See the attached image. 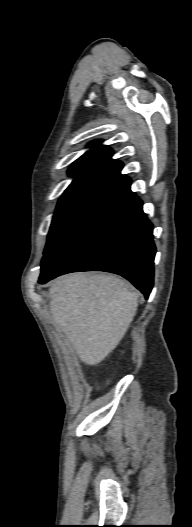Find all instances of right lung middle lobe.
I'll list each match as a JSON object with an SVG mask.
<instances>
[{
    "mask_svg": "<svg viewBox=\"0 0 192 527\" xmlns=\"http://www.w3.org/2000/svg\"><path fill=\"white\" fill-rule=\"evenodd\" d=\"M106 183L100 181H87L71 184L60 198L56 213L53 217L44 257L50 252L60 236L85 209L88 203L104 187ZM43 257V258H44Z\"/></svg>",
    "mask_w": 192,
    "mask_h": 527,
    "instance_id": "dd1d6c3e",
    "label": "right lung middle lobe"
}]
</instances>
